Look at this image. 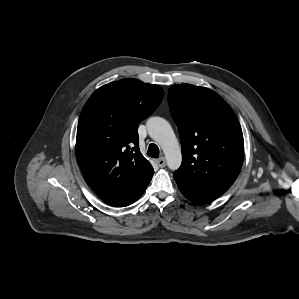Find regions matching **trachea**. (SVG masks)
<instances>
[{
  "label": "trachea",
  "instance_id": "trachea-1",
  "mask_svg": "<svg viewBox=\"0 0 299 299\" xmlns=\"http://www.w3.org/2000/svg\"><path fill=\"white\" fill-rule=\"evenodd\" d=\"M147 155L152 158H158L159 157V148L156 144L151 143L148 147Z\"/></svg>",
  "mask_w": 299,
  "mask_h": 299
}]
</instances>
